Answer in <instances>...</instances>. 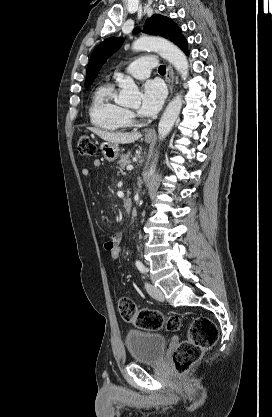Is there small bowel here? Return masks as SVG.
Masks as SVG:
<instances>
[{
  "label": "small bowel",
  "instance_id": "c3829d8e",
  "mask_svg": "<svg viewBox=\"0 0 272 417\" xmlns=\"http://www.w3.org/2000/svg\"><path fill=\"white\" fill-rule=\"evenodd\" d=\"M94 167L96 168H100L103 165V162L100 159H96L93 162ZM81 174L83 177H89L91 174V171L89 168L85 167L81 170ZM123 240V233L121 232H117L115 234H113L112 236H110L105 242H104V249H106L107 245L109 243H111L112 241H120L122 242Z\"/></svg>",
  "mask_w": 272,
  "mask_h": 417
}]
</instances>
